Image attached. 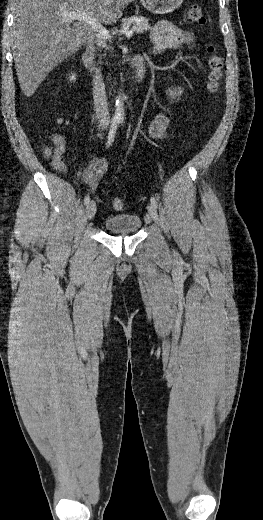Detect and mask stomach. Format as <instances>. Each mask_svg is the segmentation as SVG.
<instances>
[{
  "mask_svg": "<svg viewBox=\"0 0 263 520\" xmlns=\"http://www.w3.org/2000/svg\"><path fill=\"white\" fill-rule=\"evenodd\" d=\"M183 0H141L142 5L154 14H168L175 11Z\"/></svg>",
  "mask_w": 263,
  "mask_h": 520,
  "instance_id": "obj_1",
  "label": "stomach"
}]
</instances>
